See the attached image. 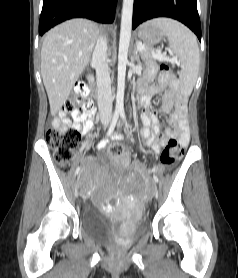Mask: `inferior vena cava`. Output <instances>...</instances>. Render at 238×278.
<instances>
[{
	"label": "inferior vena cava",
	"mask_w": 238,
	"mask_h": 278,
	"mask_svg": "<svg viewBox=\"0 0 238 278\" xmlns=\"http://www.w3.org/2000/svg\"><path fill=\"white\" fill-rule=\"evenodd\" d=\"M92 64L96 70L98 109L101 122L107 125L112 116L111 79L107 61V40L99 36L93 51Z\"/></svg>",
	"instance_id": "602c4592"
}]
</instances>
